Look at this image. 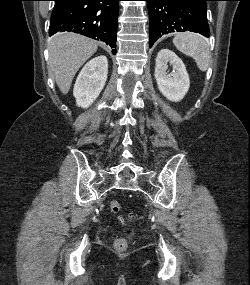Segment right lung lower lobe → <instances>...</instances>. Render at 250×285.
I'll return each instance as SVG.
<instances>
[{
  "mask_svg": "<svg viewBox=\"0 0 250 285\" xmlns=\"http://www.w3.org/2000/svg\"><path fill=\"white\" fill-rule=\"evenodd\" d=\"M49 34L73 31L116 48L120 0H54ZM113 54H116L114 49Z\"/></svg>",
  "mask_w": 250,
  "mask_h": 285,
  "instance_id": "obj_1",
  "label": "right lung lower lobe"
}]
</instances>
